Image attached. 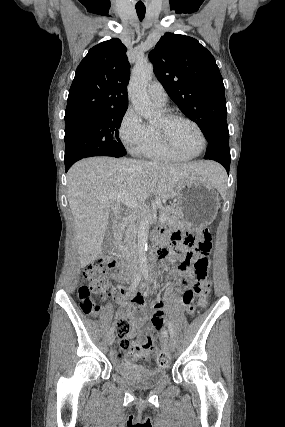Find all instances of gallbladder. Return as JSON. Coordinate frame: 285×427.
<instances>
[{"label":"gallbladder","instance_id":"gallbladder-1","mask_svg":"<svg viewBox=\"0 0 285 427\" xmlns=\"http://www.w3.org/2000/svg\"><path fill=\"white\" fill-rule=\"evenodd\" d=\"M114 217H115V215L113 213H111L110 217H109V223H108V226L106 229L104 241H103V247L102 248L104 251H109L113 247V241H114L113 221H114Z\"/></svg>","mask_w":285,"mask_h":427}]
</instances>
